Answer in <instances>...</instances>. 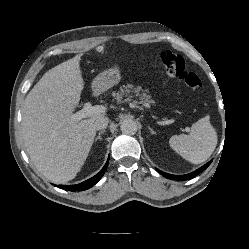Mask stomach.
<instances>
[{
  "mask_svg": "<svg viewBox=\"0 0 249 249\" xmlns=\"http://www.w3.org/2000/svg\"><path fill=\"white\" fill-rule=\"evenodd\" d=\"M121 79L120 70L115 66L96 76L92 82V87L97 92H104L114 85L118 84Z\"/></svg>",
  "mask_w": 249,
  "mask_h": 249,
  "instance_id": "obj_1",
  "label": "stomach"
}]
</instances>
